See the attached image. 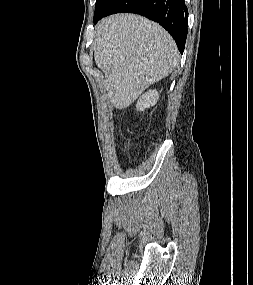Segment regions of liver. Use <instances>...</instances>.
I'll list each match as a JSON object with an SVG mask.
<instances>
[{
	"instance_id": "6515ba94",
	"label": "liver",
	"mask_w": 253,
	"mask_h": 285,
	"mask_svg": "<svg viewBox=\"0 0 253 285\" xmlns=\"http://www.w3.org/2000/svg\"><path fill=\"white\" fill-rule=\"evenodd\" d=\"M94 59L117 109L128 107L178 64L172 37L157 23L134 14L104 18L96 27Z\"/></svg>"
}]
</instances>
